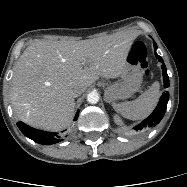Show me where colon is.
Wrapping results in <instances>:
<instances>
[{"instance_id":"colon-1","label":"colon","mask_w":187,"mask_h":187,"mask_svg":"<svg viewBox=\"0 0 187 187\" xmlns=\"http://www.w3.org/2000/svg\"><path fill=\"white\" fill-rule=\"evenodd\" d=\"M128 60L133 65H138L144 75L149 74V60L147 54V48L143 42L137 41L133 44L129 55Z\"/></svg>"}]
</instances>
